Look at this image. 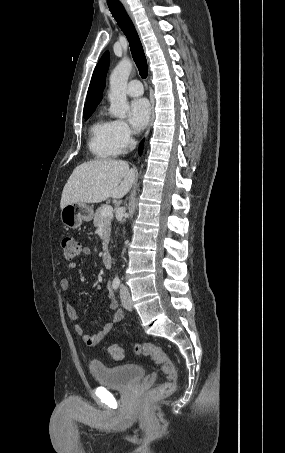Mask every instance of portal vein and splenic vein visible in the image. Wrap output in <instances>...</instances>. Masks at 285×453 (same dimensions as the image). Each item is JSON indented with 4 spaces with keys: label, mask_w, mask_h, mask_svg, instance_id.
Instances as JSON below:
<instances>
[{
    "label": "portal vein and splenic vein",
    "mask_w": 285,
    "mask_h": 453,
    "mask_svg": "<svg viewBox=\"0 0 285 453\" xmlns=\"http://www.w3.org/2000/svg\"><path fill=\"white\" fill-rule=\"evenodd\" d=\"M112 211H113L112 206H106L102 210V215L103 216H108V215L112 214Z\"/></svg>",
    "instance_id": "portal-vein-and-splenic-vein-1"
}]
</instances>
